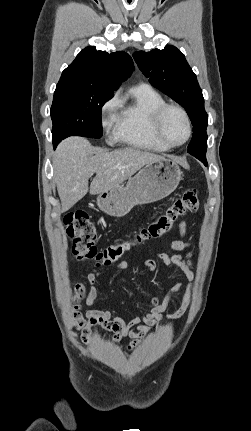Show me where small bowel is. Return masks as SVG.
<instances>
[{
    "label": "small bowel",
    "instance_id": "c3829d8e",
    "mask_svg": "<svg viewBox=\"0 0 251 431\" xmlns=\"http://www.w3.org/2000/svg\"><path fill=\"white\" fill-rule=\"evenodd\" d=\"M180 234L183 236L187 230V224L182 221L179 225ZM189 246V243L183 240H175L170 244L167 252H158L157 257L169 267H174L187 278L192 281L194 277L193 266L191 262V252L185 255L181 254ZM145 268L151 272L156 273L158 270L157 261L149 258L144 263ZM128 269V264L125 261L117 262L113 268L94 271L87 275V281L90 284L89 293L86 298V304L91 306L97 299V288L95 286L96 280L112 271L122 272ZM181 288L180 279L177 278L175 285L170 292L160 299L158 295L153 296L149 300L150 311L142 317L135 316L129 319H124L121 316L114 314L110 310H88L85 315L80 311L79 307H74L72 310V317L75 328L82 331V338L86 342L90 335V329L93 326H101L102 328L113 333L112 341L114 344L119 343L124 337L130 338V343L127 345L129 350L136 348L144 339L147 333L151 331L159 322L164 319V312L168 308L173 295ZM191 298L190 288L188 287L178 308L171 314L166 315L167 319L174 320L183 315L188 306Z\"/></svg>",
    "mask_w": 251,
    "mask_h": 431
}]
</instances>
